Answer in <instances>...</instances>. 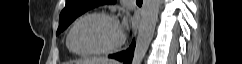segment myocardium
I'll use <instances>...</instances> for the list:
<instances>
[{"mask_svg":"<svg viewBox=\"0 0 242 64\" xmlns=\"http://www.w3.org/2000/svg\"><path fill=\"white\" fill-rule=\"evenodd\" d=\"M90 17H102V18H106V19H109L111 21H114L118 26H119V22H118V19L115 15L111 14V13H107V12H101V11H95V12H89V13H86L82 16H80L74 23L73 25L71 26L70 30H69V33H68V36H67V45H68V48L76 55H79V56H91V55H105V54H110V53H113L115 52L116 50H118L125 42V35L123 33V31L120 29L121 31V34H120V38L119 40L113 44L112 46L110 47H107V48H103V49H97V50H89V51H78L74 48L73 44H72V35H73V32L75 30V28L77 27V25L87 19V18H90ZM120 28V26H119Z\"/></svg>","mask_w":242,"mask_h":64,"instance_id":"f54148a6","label":"myocardium"}]
</instances>
